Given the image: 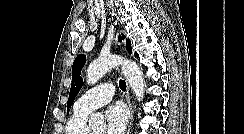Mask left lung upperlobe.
<instances>
[{"instance_id": "1", "label": "left lung upper lobe", "mask_w": 244, "mask_h": 134, "mask_svg": "<svg viewBox=\"0 0 244 134\" xmlns=\"http://www.w3.org/2000/svg\"><path fill=\"white\" fill-rule=\"evenodd\" d=\"M122 38H124V36L122 37L120 36L119 40H122ZM126 49L129 53L132 52L131 42L129 39L126 41ZM85 62H86V56L84 54H79L73 63L72 84H71V89H70L69 98L67 102V107H68L67 111H69V107H71L75 97L77 96L78 92L80 91L83 85V79L80 76V74Z\"/></svg>"}]
</instances>
